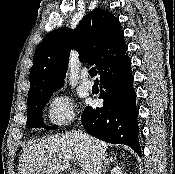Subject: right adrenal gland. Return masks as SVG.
I'll use <instances>...</instances> for the list:
<instances>
[{"label":"right adrenal gland","mask_w":175,"mask_h":174,"mask_svg":"<svg viewBox=\"0 0 175 174\" xmlns=\"http://www.w3.org/2000/svg\"><path fill=\"white\" fill-rule=\"evenodd\" d=\"M115 160H116V157H110V158L104 157V164H103V170H102L103 173L102 174H106L107 165Z\"/></svg>","instance_id":"right-adrenal-gland-1"}]
</instances>
